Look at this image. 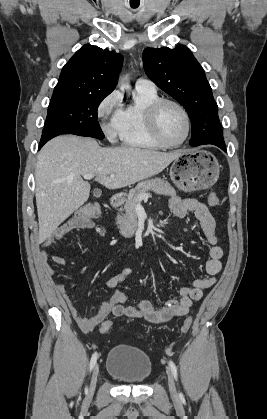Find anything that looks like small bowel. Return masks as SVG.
Returning a JSON list of instances; mask_svg holds the SVG:
<instances>
[{"label": "small bowel", "instance_id": "c3829d8e", "mask_svg": "<svg viewBox=\"0 0 267 419\" xmlns=\"http://www.w3.org/2000/svg\"><path fill=\"white\" fill-rule=\"evenodd\" d=\"M169 209L177 218H184L188 212H192L199 221L206 241L210 245L209 260L205 265V273L208 277L195 279L191 287L180 288L178 291L179 299H170L159 308H155L148 300H142L137 305H125L124 303L127 297L117 289L133 272L130 267H125L106 281L107 288L114 290V292L99 307L97 313L88 318L80 315L67 293L66 285L64 283L56 284V290L62 296L70 313L83 332L88 333L93 331L110 314L117 317L126 316L129 318L145 319L150 323H163L184 316L189 312L193 302L200 300L203 292L216 283V275L222 269L221 259L223 257V250L217 244L218 240L215 234L216 223L208 207L193 198L181 199L173 197L169 201ZM75 229H87L100 237L107 235V230L103 226L97 225L91 220L75 221L69 219L53 231L44 245L49 246L53 242L61 240L67 233ZM50 259L59 265H64L65 260L60 255H49L47 252L41 253L40 261L44 270L48 275L53 276L54 271L49 265Z\"/></svg>", "mask_w": 267, "mask_h": 419}]
</instances>
